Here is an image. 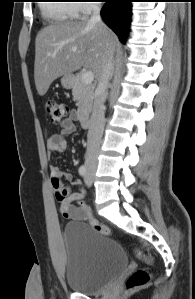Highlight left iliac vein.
<instances>
[{
    "label": "left iliac vein",
    "mask_w": 195,
    "mask_h": 299,
    "mask_svg": "<svg viewBox=\"0 0 195 299\" xmlns=\"http://www.w3.org/2000/svg\"><path fill=\"white\" fill-rule=\"evenodd\" d=\"M84 181H85V184H86L87 186H91V185H92V176H91L90 173H88V174L85 176Z\"/></svg>",
    "instance_id": "1"
}]
</instances>
